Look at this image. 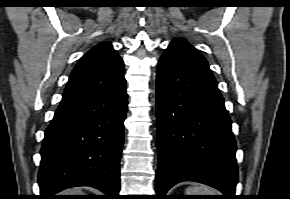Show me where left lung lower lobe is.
Masks as SVG:
<instances>
[{
  "instance_id": "left-lung-lower-lobe-1",
  "label": "left lung lower lobe",
  "mask_w": 290,
  "mask_h": 199,
  "mask_svg": "<svg viewBox=\"0 0 290 199\" xmlns=\"http://www.w3.org/2000/svg\"><path fill=\"white\" fill-rule=\"evenodd\" d=\"M156 81L158 196L165 199L175 184L195 181L235 199L237 147L212 72L166 50Z\"/></svg>"
}]
</instances>
